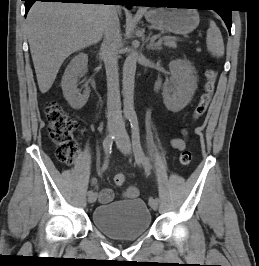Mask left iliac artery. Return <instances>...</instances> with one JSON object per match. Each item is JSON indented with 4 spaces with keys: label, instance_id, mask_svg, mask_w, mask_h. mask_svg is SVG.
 <instances>
[{
    "label": "left iliac artery",
    "instance_id": "44dca946",
    "mask_svg": "<svg viewBox=\"0 0 259 266\" xmlns=\"http://www.w3.org/2000/svg\"><path fill=\"white\" fill-rule=\"evenodd\" d=\"M128 118H129L131 129H132V144H133L134 154L136 158H138L142 162L145 168V171L149 173L150 163H149L148 158L145 156L143 149L141 147L137 115L135 113H132L131 115H129ZM154 200H156V203L161 202V199L155 198Z\"/></svg>",
    "mask_w": 259,
    "mask_h": 266
}]
</instances>
